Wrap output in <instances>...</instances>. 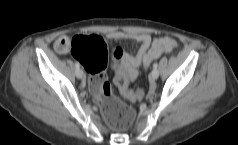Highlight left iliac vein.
Masks as SVG:
<instances>
[{
	"mask_svg": "<svg viewBox=\"0 0 238 145\" xmlns=\"http://www.w3.org/2000/svg\"><path fill=\"white\" fill-rule=\"evenodd\" d=\"M159 77V71L157 68H154L150 73V80H156Z\"/></svg>",
	"mask_w": 238,
	"mask_h": 145,
	"instance_id": "obj_1",
	"label": "left iliac vein"
}]
</instances>
